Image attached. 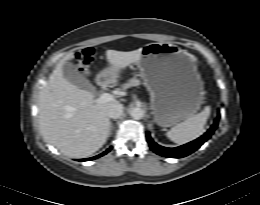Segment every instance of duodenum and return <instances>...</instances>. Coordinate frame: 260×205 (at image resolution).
Here are the masks:
<instances>
[{"mask_svg": "<svg viewBox=\"0 0 260 205\" xmlns=\"http://www.w3.org/2000/svg\"><path fill=\"white\" fill-rule=\"evenodd\" d=\"M98 82H99V85L102 87V88H106V87H109V82L103 78V77H99L98 78Z\"/></svg>", "mask_w": 260, "mask_h": 205, "instance_id": "obj_1", "label": "duodenum"}]
</instances>
